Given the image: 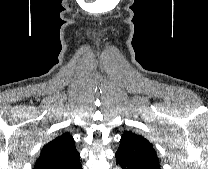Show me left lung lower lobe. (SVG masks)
I'll return each mask as SVG.
<instances>
[{"label": "left lung lower lobe", "instance_id": "obj_1", "mask_svg": "<svg viewBox=\"0 0 208 169\" xmlns=\"http://www.w3.org/2000/svg\"><path fill=\"white\" fill-rule=\"evenodd\" d=\"M117 163L121 166L122 169H144L138 163H136L128 155L117 151L116 154Z\"/></svg>", "mask_w": 208, "mask_h": 169}]
</instances>
